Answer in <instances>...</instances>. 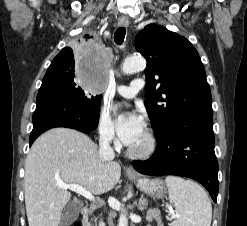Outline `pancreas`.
Instances as JSON below:
<instances>
[{"mask_svg": "<svg viewBox=\"0 0 247 226\" xmlns=\"http://www.w3.org/2000/svg\"><path fill=\"white\" fill-rule=\"evenodd\" d=\"M155 216H156V215H155ZM157 220H159V219L157 218ZM88 226H91V223H89Z\"/></svg>", "mask_w": 247, "mask_h": 226, "instance_id": "1", "label": "pancreas"}]
</instances>
